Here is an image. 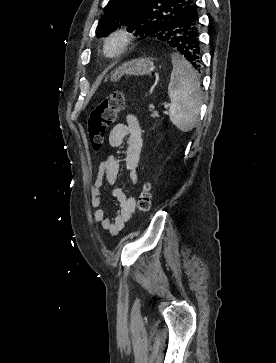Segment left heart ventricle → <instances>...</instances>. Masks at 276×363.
Wrapping results in <instances>:
<instances>
[{
  "instance_id": "obj_1",
  "label": "left heart ventricle",
  "mask_w": 276,
  "mask_h": 363,
  "mask_svg": "<svg viewBox=\"0 0 276 363\" xmlns=\"http://www.w3.org/2000/svg\"><path fill=\"white\" fill-rule=\"evenodd\" d=\"M117 47V42L116 41H112L110 44H109V50L110 51H114Z\"/></svg>"
}]
</instances>
